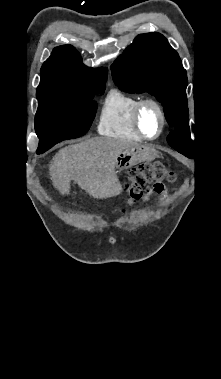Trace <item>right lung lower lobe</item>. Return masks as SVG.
I'll list each match as a JSON object with an SVG mask.
<instances>
[{
	"instance_id": "right-lung-lower-lobe-1",
	"label": "right lung lower lobe",
	"mask_w": 221,
	"mask_h": 379,
	"mask_svg": "<svg viewBox=\"0 0 221 379\" xmlns=\"http://www.w3.org/2000/svg\"><path fill=\"white\" fill-rule=\"evenodd\" d=\"M48 149H37V154L39 153H44L45 151H47Z\"/></svg>"
}]
</instances>
